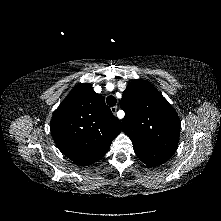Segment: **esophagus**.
Returning a JSON list of instances; mask_svg holds the SVG:
<instances>
[{"label": "esophagus", "instance_id": "34e87169", "mask_svg": "<svg viewBox=\"0 0 221 221\" xmlns=\"http://www.w3.org/2000/svg\"><path fill=\"white\" fill-rule=\"evenodd\" d=\"M117 109H118L117 106L111 107V111H112V113H113L114 115L117 113Z\"/></svg>", "mask_w": 221, "mask_h": 221}]
</instances>
